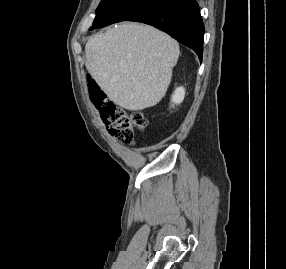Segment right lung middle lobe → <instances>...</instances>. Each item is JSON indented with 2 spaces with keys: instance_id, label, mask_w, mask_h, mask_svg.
Returning a JSON list of instances; mask_svg holds the SVG:
<instances>
[{
  "instance_id": "obj_1",
  "label": "right lung middle lobe",
  "mask_w": 286,
  "mask_h": 269,
  "mask_svg": "<svg viewBox=\"0 0 286 269\" xmlns=\"http://www.w3.org/2000/svg\"><path fill=\"white\" fill-rule=\"evenodd\" d=\"M158 0H101L92 28L125 21Z\"/></svg>"
}]
</instances>
